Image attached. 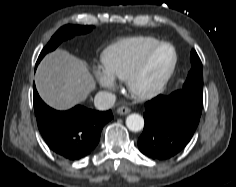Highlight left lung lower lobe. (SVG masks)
I'll use <instances>...</instances> for the list:
<instances>
[{
	"instance_id": "0a47b994",
	"label": "left lung lower lobe",
	"mask_w": 236,
	"mask_h": 187,
	"mask_svg": "<svg viewBox=\"0 0 236 187\" xmlns=\"http://www.w3.org/2000/svg\"><path fill=\"white\" fill-rule=\"evenodd\" d=\"M145 109L139 150L149 158L165 160L180 152L191 140L199 124L202 101L179 90L148 101Z\"/></svg>"
}]
</instances>
